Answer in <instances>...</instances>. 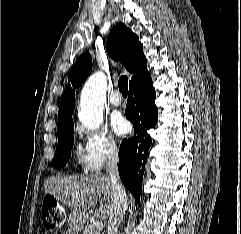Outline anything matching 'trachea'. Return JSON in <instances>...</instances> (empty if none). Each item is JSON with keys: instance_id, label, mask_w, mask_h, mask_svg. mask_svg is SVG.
I'll use <instances>...</instances> for the list:
<instances>
[{"instance_id": "3493384b", "label": "trachea", "mask_w": 241, "mask_h": 234, "mask_svg": "<svg viewBox=\"0 0 241 234\" xmlns=\"http://www.w3.org/2000/svg\"><path fill=\"white\" fill-rule=\"evenodd\" d=\"M119 90L123 96H127L128 92V78L127 76H121L118 81Z\"/></svg>"}]
</instances>
